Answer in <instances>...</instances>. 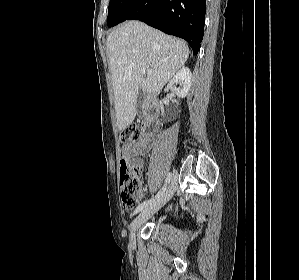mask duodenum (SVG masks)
<instances>
[{"label": "duodenum", "mask_w": 299, "mask_h": 280, "mask_svg": "<svg viewBox=\"0 0 299 280\" xmlns=\"http://www.w3.org/2000/svg\"><path fill=\"white\" fill-rule=\"evenodd\" d=\"M157 111H158L157 98L153 95L148 96L144 104V128L147 132L151 133L156 130Z\"/></svg>", "instance_id": "obj_1"}]
</instances>
